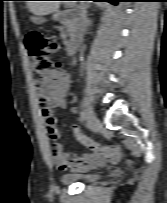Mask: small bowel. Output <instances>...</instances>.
<instances>
[{
  "label": "small bowel",
  "mask_w": 167,
  "mask_h": 203,
  "mask_svg": "<svg viewBox=\"0 0 167 203\" xmlns=\"http://www.w3.org/2000/svg\"><path fill=\"white\" fill-rule=\"evenodd\" d=\"M34 86L46 96L41 101V114L45 122L49 138L52 160L61 170L88 171L105 165L107 162L115 163L121 157V148L117 144L103 145L85 136L81 128L74 124L72 131L78 141L88 148L83 155H73L65 152L58 142L59 133L56 129L55 111L65 109L68 104L70 90V73L65 68H52L34 80Z\"/></svg>",
  "instance_id": "1"
}]
</instances>
